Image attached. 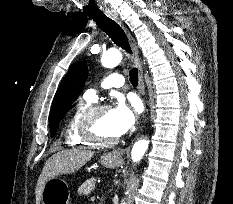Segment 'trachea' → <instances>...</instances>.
Wrapping results in <instances>:
<instances>
[{"instance_id":"1","label":"trachea","mask_w":233,"mask_h":204,"mask_svg":"<svg viewBox=\"0 0 233 204\" xmlns=\"http://www.w3.org/2000/svg\"><path fill=\"white\" fill-rule=\"evenodd\" d=\"M97 25L114 41V43L124 49L127 53L132 54L127 36L122 27L115 21L107 17L103 12L89 13ZM130 82L133 86L138 85V70L133 68L129 71Z\"/></svg>"}]
</instances>
